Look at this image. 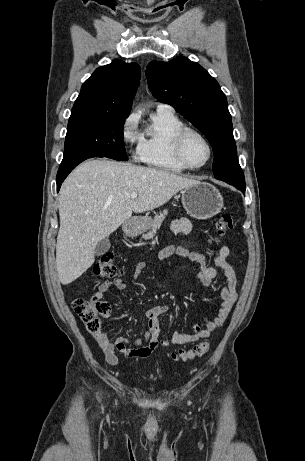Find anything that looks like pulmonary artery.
Instances as JSON below:
<instances>
[{"instance_id":"1","label":"pulmonary artery","mask_w":305,"mask_h":461,"mask_svg":"<svg viewBox=\"0 0 305 461\" xmlns=\"http://www.w3.org/2000/svg\"><path fill=\"white\" fill-rule=\"evenodd\" d=\"M157 110L172 111V108L167 104L160 103V104L157 105Z\"/></svg>"}]
</instances>
